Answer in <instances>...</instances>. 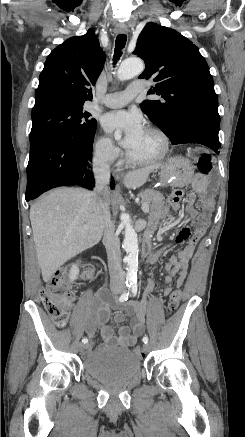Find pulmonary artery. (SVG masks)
Returning <instances> with one entry per match:
<instances>
[{"label":"pulmonary artery","mask_w":245,"mask_h":437,"mask_svg":"<svg viewBox=\"0 0 245 437\" xmlns=\"http://www.w3.org/2000/svg\"><path fill=\"white\" fill-rule=\"evenodd\" d=\"M142 82L136 81L131 83L126 90L107 94L102 103L109 108H119L125 106L133 97L143 91Z\"/></svg>","instance_id":"1"}]
</instances>
